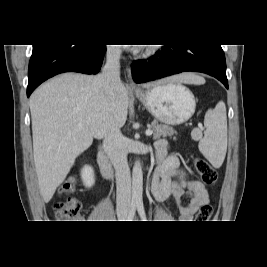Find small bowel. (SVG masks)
Returning a JSON list of instances; mask_svg holds the SVG:
<instances>
[{"instance_id":"1","label":"small bowel","mask_w":267,"mask_h":267,"mask_svg":"<svg viewBox=\"0 0 267 267\" xmlns=\"http://www.w3.org/2000/svg\"><path fill=\"white\" fill-rule=\"evenodd\" d=\"M155 148L158 163L151 184L153 194L161 202L173 200L178 205L181 219L188 222L199 207L208 202V192L200 181L175 179L180 174L179 161L168 152L165 140L156 141Z\"/></svg>"}]
</instances>
